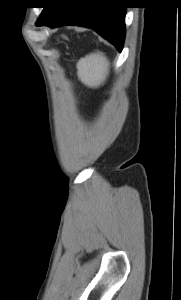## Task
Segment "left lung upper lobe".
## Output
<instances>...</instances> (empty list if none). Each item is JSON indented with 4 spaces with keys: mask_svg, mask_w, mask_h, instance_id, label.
<instances>
[{
    "mask_svg": "<svg viewBox=\"0 0 181 300\" xmlns=\"http://www.w3.org/2000/svg\"><path fill=\"white\" fill-rule=\"evenodd\" d=\"M55 1H56V0H50V6H51ZM50 6H47V7L44 8V10L42 11V13H41L39 19H38L37 22H36V25H38L40 19H41V18L44 16V14L48 11V9L50 8Z\"/></svg>",
    "mask_w": 181,
    "mask_h": 300,
    "instance_id": "obj_1",
    "label": "left lung upper lobe"
}]
</instances>
